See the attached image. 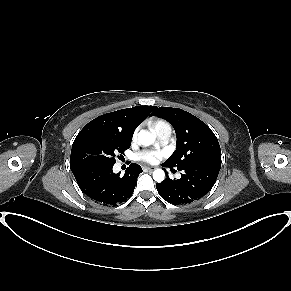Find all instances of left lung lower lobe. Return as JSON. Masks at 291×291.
I'll use <instances>...</instances> for the list:
<instances>
[{"instance_id": "left-lung-lower-lobe-1", "label": "left lung lower lobe", "mask_w": 291, "mask_h": 291, "mask_svg": "<svg viewBox=\"0 0 291 291\" xmlns=\"http://www.w3.org/2000/svg\"><path fill=\"white\" fill-rule=\"evenodd\" d=\"M172 169L167 164H163ZM221 165L214 163H195L183 166L181 178L171 180L169 176L156 184L158 193L174 205L187 204L202 198L215 184Z\"/></svg>"}]
</instances>
